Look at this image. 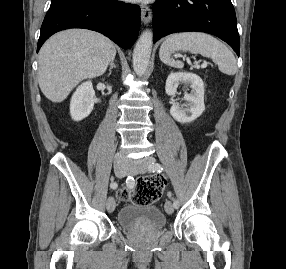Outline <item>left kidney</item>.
Masks as SVG:
<instances>
[{
    "instance_id": "left-kidney-1",
    "label": "left kidney",
    "mask_w": 286,
    "mask_h": 269,
    "mask_svg": "<svg viewBox=\"0 0 286 269\" xmlns=\"http://www.w3.org/2000/svg\"><path fill=\"white\" fill-rule=\"evenodd\" d=\"M180 83L188 84L191 93L184 95L185 107L174 103L170 109L171 116L180 123H189L197 119L205 110L204 105V83L202 79L193 73L176 72L170 73L166 80L165 91L174 97Z\"/></svg>"
}]
</instances>
